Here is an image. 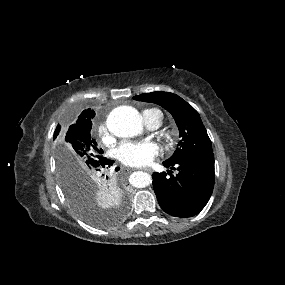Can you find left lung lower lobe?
<instances>
[{
	"label": "left lung lower lobe",
	"instance_id": "0a47b994",
	"mask_svg": "<svg viewBox=\"0 0 285 285\" xmlns=\"http://www.w3.org/2000/svg\"><path fill=\"white\" fill-rule=\"evenodd\" d=\"M166 168L177 169L178 174L154 173L153 187L161 208L176 217L198 214L213 192L214 158L189 159L176 163L163 162Z\"/></svg>",
	"mask_w": 285,
	"mask_h": 285
}]
</instances>
